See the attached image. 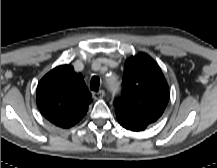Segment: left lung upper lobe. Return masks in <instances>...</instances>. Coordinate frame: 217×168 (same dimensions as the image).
Masks as SVG:
<instances>
[{
    "instance_id": "obj_1",
    "label": "left lung upper lobe",
    "mask_w": 217,
    "mask_h": 168,
    "mask_svg": "<svg viewBox=\"0 0 217 168\" xmlns=\"http://www.w3.org/2000/svg\"><path fill=\"white\" fill-rule=\"evenodd\" d=\"M168 101V84L158 64L145 53L127 59L122 95L114 102L120 125L145 130L162 116Z\"/></svg>"
}]
</instances>
